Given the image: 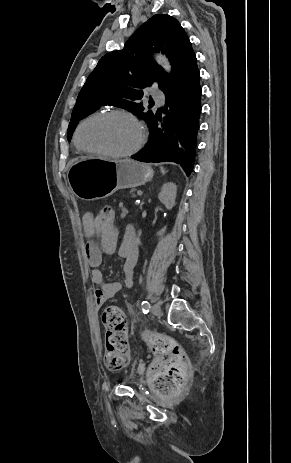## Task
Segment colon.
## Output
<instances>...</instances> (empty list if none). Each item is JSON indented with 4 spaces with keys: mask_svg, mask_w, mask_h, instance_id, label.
Segmentation results:
<instances>
[{
    "mask_svg": "<svg viewBox=\"0 0 291 463\" xmlns=\"http://www.w3.org/2000/svg\"><path fill=\"white\" fill-rule=\"evenodd\" d=\"M117 220L118 209L113 206L103 205L96 210L99 231H106L107 226H115ZM102 323L105 329V366L109 370H121L129 361L125 315L117 307H108L103 313ZM147 339L159 357V361L152 367L157 390L169 392L181 386L189 376V368L180 353L178 342L156 334H147Z\"/></svg>",
    "mask_w": 291,
    "mask_h": 463,
    "instance_id": "1",
    "label": "colon"
}]
</instances>
